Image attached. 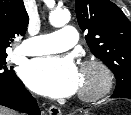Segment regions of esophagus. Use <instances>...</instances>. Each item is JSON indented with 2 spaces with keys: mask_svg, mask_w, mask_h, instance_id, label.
Returning a JSON list of instances; mask_svg holds the SVG:
<instances>
[{
  "mask_svg": "<svg viewBox=\"0 0 131 115\" xmlns=\"http://www.w3.org/2000/svg\"><path fill=\"white\" fill-rule=\"evenodd\" d=\"M49 115H61V110L59 107L55 106V105H52L50 108H49Z\"/></svg>",
  "mask_w": 131,
  "mask_h": 115,
  "instance_id": "esophagus-1",
  "label": "esophagus"
}]
</instances>
